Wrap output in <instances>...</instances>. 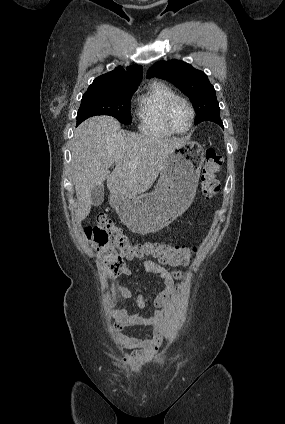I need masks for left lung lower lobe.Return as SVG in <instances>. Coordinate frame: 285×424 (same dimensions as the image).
I'll return each mask as SVG.
<instances>
[{
  "label": "left lung lower lobe",
  "instance_id": "0a47b994",
  "mask_svg": "<svg viewBox=\"0 0 285 424\" xmlns=\"http://www.w3.org/2000/svg\"><path fill=\"white\" fill-rule=\"evenodd\" d=\"M212 122H215V123L219 124L221 127H223V123H222L220 117L219 118H214Z\"/></svg>",
  "mask_w": 285,
  "mask_h": 424
}]
</instances>
